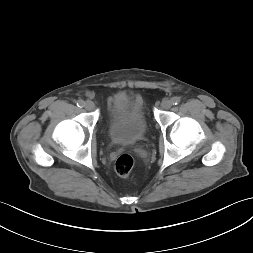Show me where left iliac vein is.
Listing matches in <instances>:
<instances>
[{
    "label": "left iliac vein",
    "instance_id": "4c4485c4",
    "mask_svg": "<svg viewBox=\"0 0 253 253\" xmlns=\"http://www.w3.org/2000/svg\"><path fill=\"white\" fill-rule=\"evenodd\" d=\"M171 101H169V100H167V99H164V100H162V102H161V108L162 109H169L170 107H171Z\"/></svg>",
    "mask_w": 253,
    "mask_h": 253
}]
</instances>
